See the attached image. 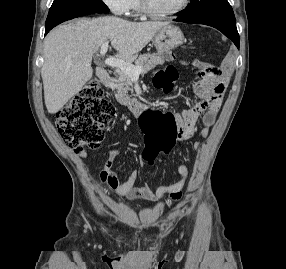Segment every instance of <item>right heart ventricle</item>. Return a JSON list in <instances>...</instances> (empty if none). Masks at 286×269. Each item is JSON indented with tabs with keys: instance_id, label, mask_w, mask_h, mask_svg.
<instances>
[{
	"instance_id": "e07e8e85",
	"label": "right heart ventricle",
	"mask_w": 286,
	"mask_h": 269,
	"mask_svg": "<svg viewBox=\"0 0 286 269\" xmlns=\"http://www.w3.org/2000/svg\"><path fill=\"white\" fill-rule=\"evenodd\" d=\"M128 12L138 14L140 12L138 0H129Z\"/></svg>"
}]
</instances>
